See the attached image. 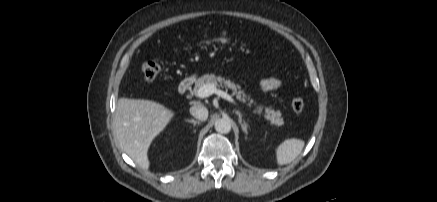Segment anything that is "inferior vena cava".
<instances>
[{
    "instance_id": "obj_1",
    "label": "inferior vena cava",
    "mask_w": 437,
    "mask_h": 202,
    "mask_svg": "<svg viewBox=\"0 0 437 202\" xmlns=\"http://www.w3.org/2000/svg\"><path fill=\"white\" fill-rule=\"evenodd\" d=\"M190 114L198 120L205 121L208 118V110L201 104H196L190 108Z\"/></svg>"
}]
</instances>
